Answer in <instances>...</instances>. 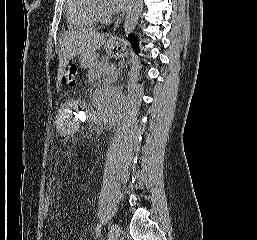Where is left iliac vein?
I'll return each mask as SVG.
<instances>
[{
    "instance_id": "left-iliac-vein-1",
    "label": "left iliac vein",
    "mask_w": 257,
    "mask_h": 240,
    "mask_svg": "<svg viewBox=\"0 0 257 240\" xmlns=\"http://www.w3.org/2000/svg\"><path fill=\"white\" fill-rule=\"evenodd\" d=\"M121 234V228L117 223H113L108 232V240H118Z\"/></svg>"
}]
</instances>
